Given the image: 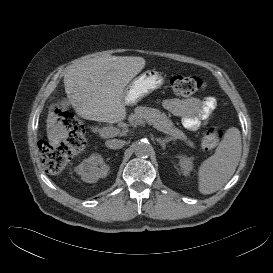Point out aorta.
<instances>
[{"instance_id": "obj_1", "label": "aorta", "mask_w": 273, "mask_h": 273, "mask_svg": "<svg viewBox=\"0 0 273 273\" xmlns=\"http://www.w3.org/2000/svg\"><path fill=\"white\" fill-rule=\"evenodd\" d=\"M134 152L137 157H148L152 152V146L148 141L141 140L135 144Z\"/></svg>"}]
</instances>
